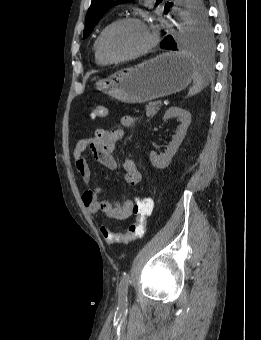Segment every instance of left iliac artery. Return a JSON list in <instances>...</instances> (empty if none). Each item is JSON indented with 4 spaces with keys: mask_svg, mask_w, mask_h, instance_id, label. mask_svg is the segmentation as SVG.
Returning <instances> with one entry per match:
<instances>
[{
    "mask_svg": "<svg viewBox=\"0 0 261 340\" xmlns=\"http://www.w3.org/2000/svg\"><path fill=\"white\" fill-rule=\"evenodd\" d=\"M129 282H130L129 273H124L120 281L119 292H118L120 305H126L127 303V292H128Z\"/></svg>",
    "mask_w": 261,
    "mask_h": 340,
    "instance_id": "obj_1",
    "label": "left iliac artery"
}]
</instances>
